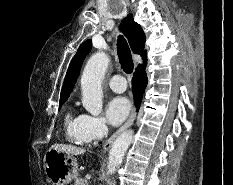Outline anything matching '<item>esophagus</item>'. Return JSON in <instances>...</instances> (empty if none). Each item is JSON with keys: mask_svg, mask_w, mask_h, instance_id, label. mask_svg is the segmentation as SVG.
<instances>
[{"mask_svg": "<svg viewBox=\"0 0 233 185\" xmlns=\"http://www.w3.org/2000/svg\"><path fill=\"white\" fill-rule=\"evenodd\" d=\"M136 117V110L135 108L132 110L129 118L127 119V121L103 144V151H108L113 142L116 140V138L123 132L125 131L127 128H129Z\"/></svg>", "mask_w": 233, "mask_h": 185, "instance_id": "esophagus-1", "label": "esophagus"}]
</instances>
